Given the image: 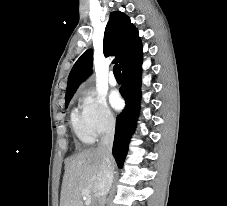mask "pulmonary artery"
<instances>
[{"mask_svg": "<svg viewBox=\"0 0 227 206\" xmlns=\"http://www.w3.org/2000/svg\"><path fill=\"white\" fill-rule=\"evenodd\" d=\"M109 84L111 86L117 85V80H116L115 76L113 75V73H110V75H109Z\"/></svg>", "mask_w": 227, "mask_h": 206, "instance_id": "obj_1", "label": "pulmonary artery"}]
</instances>
